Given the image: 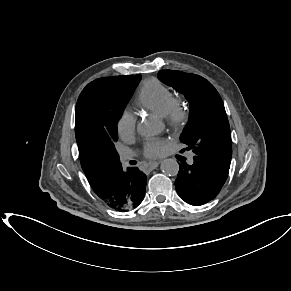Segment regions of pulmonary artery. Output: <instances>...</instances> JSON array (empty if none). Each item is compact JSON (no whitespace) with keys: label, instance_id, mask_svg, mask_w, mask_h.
Segmentation results:
<instances>
[{"label":"pulmonary artery","instance_id":"obj_1","mask_svg":"<svg viewBox=\"0 0 291 291\" xmlns=\"http://www.w3.org/2000/svg\"><path fill=\"white\" fill-rule=\"evenodd\" d=\"M193 155H190V157H189V159H188V162H189V164H192L193 162H194V159H193ZM128 159H130V156L129 155H122L121 156V160H122V162H127V160Z\"/></svg>","mask_w":291,"mask_h":291}]
</instances>
